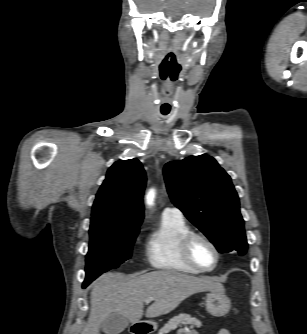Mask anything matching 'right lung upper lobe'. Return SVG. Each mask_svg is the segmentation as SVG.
I'll return each instance as SVG.
<instances>
[{"label": "right lung upper lobe", "instance_id": "right-lung-upper-lobe-1", "mask_svg": "<svg viewBox=\"0 0 307 334\" xmlns=\"http://www.w3.org/2000/svg\"><path fill=\"white\" fill-rule=\"evenodd\" d=\"M146 174L137 159L116 161L107 171L92 208L90 227L141 224Z\"/></svg>", "mask_w": 307, "mask_h": 334}]
</instances>
